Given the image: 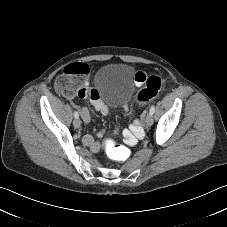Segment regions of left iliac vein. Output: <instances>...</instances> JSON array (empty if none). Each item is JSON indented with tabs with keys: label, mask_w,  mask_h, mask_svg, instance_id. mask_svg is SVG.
Returning <instances> with one entry per match:
<instances>
[{
	"label": "left iliac vein",
	"mask_w": 227,
	"mask_h": 227,
	"mask_svg": "<svg viewBox=\"0 0 227 227\" xmlns=\"http://www.w3.org/2000/svg\"><path fill=\"white\" fill-rule=\"evenodd\" d=\"M153 124V116L149 113L145 119V126L150 127Z\"/></svg>",
	"instance_id": "left-iliac-vein-1"
}]
</instances>
